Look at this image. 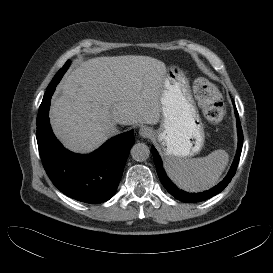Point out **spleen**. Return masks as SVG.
Listing matches in <instances>:
<instances>
[{
  "instance_id": "3e777b00",
  "label": "spleen",
  "mask_w": 273,
  "mask_h": 273,
  "mask_svg": "<svg viewBox=\"0 0 273 273\" xmlns=\"http://www.w3.org/2000/svg\"><path fill=\"white\" fill-rule=\"evenodd\" d=\"M229 161L225 150H215L200 158H165V168L171 180L181 189L198 192L213 187Z\"/></svg>"
}]
</instances>
